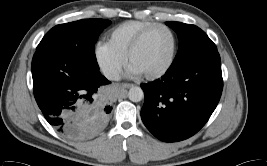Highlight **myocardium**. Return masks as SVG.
<instances>
[{
  "instance_id": "1",
  "label": "myocardium",
  "mask_w": 267,
  "mask_h": 166,
  "mask_svg": "<svg viewBox=\"0 0 267 166\" xmlns=\"http://www.w3.org/2000/svg\"><path fill=\"white\" fill-rule=\"evenodd\" d=\"M159 29H163L166 30L172 39V48H171V53H170V57L167 61V63L158 71L156 72H152V73H145L144 77L147 79H156L162 75H164L172 66L174 59H175V55H176V50H177V38L175 33L172 31V29L164 24H158L155 25L153 27H151L150 29L146 30L145 32H143L135 41L134 43L131 45V47L129 48L128 52H127V61L129 63H131L132 58L134 56V54L136 53V51L139 49V47L142 45V43L144 42V40L154 31L159 30Z\"/></svg>"
}]
</instances>
